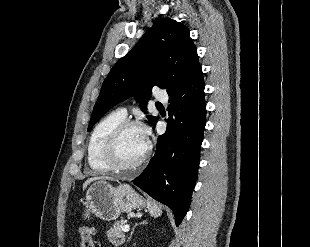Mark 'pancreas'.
I'll use <instances>...</instances> for the list:
<instances>
[{
	"instance_id": "1",
	"label": "pancreas",
	"mask_w": 310,
	"mask_h": 247,
	"mask_svg": "<svg viewBox=\"0 0 310 247\" xmlns=\"http://www.w3.org/2000/svg\"><path fill=\"white\" fill-rule=\"evenodd\" d=\"M123 222H115L107 231V237L111 244L119 246L125 242V234L122 231Z\"/></svg>"
}]
</instances>
